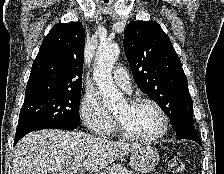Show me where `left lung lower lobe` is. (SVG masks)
<instances>
[{
    "label": "left lung lower lobe",
    "mask_w": 224,
    "mask_h": 174,
    "mask_svg": "<svg viewBox=\"0 0 224 174\" xmlns=\"http://www.w3.org/2000/svg\"><path fill=\"white\" fill-rule=\"evenodd\" d=\"M177 139H190L201 145V140L195 130L193 122H184L175 129Z\"/></svg>",
    "instance_id": "1"
}]
</instances>
